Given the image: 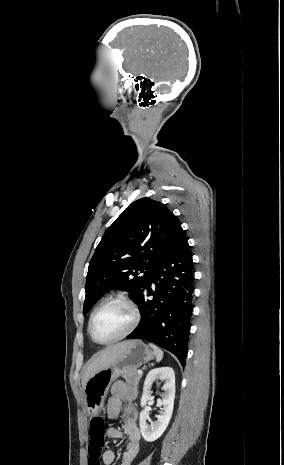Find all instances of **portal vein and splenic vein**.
<instances>
[{
	"mask_svg": "<svg viewBox=\"0 0 284 465\" xmlns=\"http://www.w3.org/2000/svg\"><path fill=\"white\" fill-rule=\"evenodd\" d=\"M138 375H143V371H137Z\"/></svg>",
	"mask_w": 284,
	"mask_h": 465,
	"instance_id": "1",
	"label": "portal vein and splenic vein"
}]
</instances>
